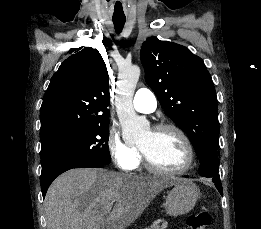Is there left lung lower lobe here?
Instances as JSON below:
<instances>
[{"mask_svg":"<svg viewBox=\"0 0 261 229\" xmlns=\"http://www.w3.org/2000/svg\"><path fill=\"white\" fill-rule=\"evenodd\" d=\"M199 174L202 177L212 178L216 188L220 194L223 195L217 154H209L202 161H200Z\"/></svg>","mask_w":261,"mask_h":229,"instance_id":"obj_1","label":"left lung lower lobe"}]
</instances>
